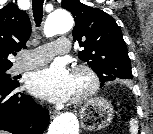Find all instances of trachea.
<instances>
[{"mask_svg": "<svg viewBox=\"0 0 153 134\" xmlns=\"http://www.w3.org/2000/svg\"><path fill=\"white\" fill-rule=\"evenodd\" d=\"M44 0H32L33 16L36 26H40L43 17Z\"/></svg>", "mask_w": 153, "mask_h": 134, "instance_id": "1", "label": "trachea"}]
</instances>
